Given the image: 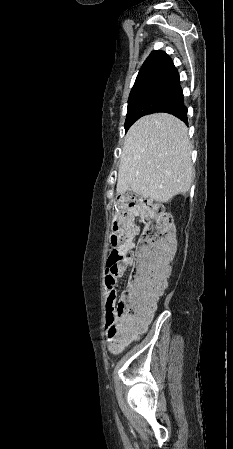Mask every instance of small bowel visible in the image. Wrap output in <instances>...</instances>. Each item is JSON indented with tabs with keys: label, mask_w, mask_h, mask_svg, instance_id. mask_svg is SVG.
<instances>
[{
	"label": "small bowel",
	"mask_w": 233,
	"mask_h": 449,
	"mask_svg": "<svg viewBox=\"0 0 233 449\" xmlns=\"http://www.w3.org/2000/svg\"><path fill=\"white\" fill-rule=\"evenodd\" d=\"M138 232H139V228H138V226H136V234ZM132 263H133L132 258L128 257L122 262H119V263L109 266L108 271L105 275V283H104V290H105V294L107 297L108 311H111L116 305L117 296H118V294H117L118 280H119V278H121L123 276L126 269L129 266H131ZM142 326L143 325L139 326L138 329H141ZM109 344L113 350H117L115 347V344L112 341L109 340Z\"/></svg>",
	"instance_id": "c3829d8e"
}]
</instances>
